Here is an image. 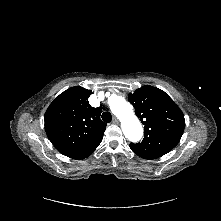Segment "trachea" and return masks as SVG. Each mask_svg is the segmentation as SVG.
<instances>
[{
  "label": "trachea",
  "instance_id": "obj_1",
  "mask_svg": "<svg viewBox=\"0 0 221 221\" xmlns=\"http://www.w3.org/2000/svg\"><path fill=\"white\" fill-rule=\"evenodd\" d=\"M102 119L104 122L109 123L112 120V115L110 112L106 111L102 113Z\"/></svg>",
  "mask_w": 221,
  "mask_h": 221
}]
</instances>
